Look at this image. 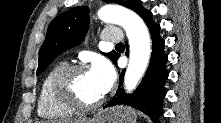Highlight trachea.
<instances>
[{
    "label": "trachea",
    "mask_w": 221,
    "mask_h": 123,
    "mask_svg": "<svg viewBox=\"0 0 221 123\" xmlns=\"http://www.w3.org/2000/svg\"><path fill=\"white\" fill-rule=\"evenodd\" d=\"M116 46H117V47H123L124 44H123V43H118Z\"/></svg>",
    "instance_id": "3493384b"
}]
</instances>
